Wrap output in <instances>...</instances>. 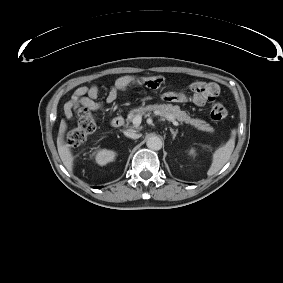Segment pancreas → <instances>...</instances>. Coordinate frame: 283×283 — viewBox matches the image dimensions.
<instances>
[{"mask_svg": "<svg viewBox=\"0 0 283 283\" xmlns=\"http://www.w3.org/2000/svg\"><path fill=\"white\" fill-rule=\"evenodd\" d=\"M151 112H158V115L161 118H165L169 120L171 117L180 122L191 124L203 131H209V132L213 131V128L205 121L191 118L185 111L180 110L178 106H173L171 104H160V105L154 104V105H148L146 107H139L133 109L130 111L128 115V121H132L136 115L143 116V115H148Z\"/></svg>", "mask_w": 283, "mask_h": 283, "instance_id": "obj_1", "label": "pancreas"}]
</instances>
